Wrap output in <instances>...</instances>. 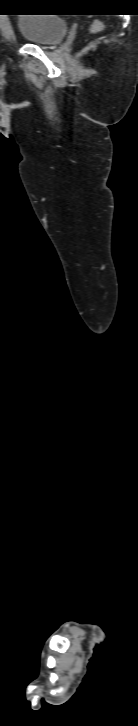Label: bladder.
Segmentation results:
<instances>
[{
  "label": "bladder",
  "mask_w": 138,
  "mask_h": 726,
  "mask_svg": "<svg viewBox=\"0 0 138 726\" xmlns=\"http://www.w3.org/2000/svg\"><path fill=\"white\" fill-rule=\"evenodd\" d=\"M17 22L21 35L39 45H50L61 41L67 34L68 23L56 14H24Z\"/></svg>",
  "instance_id": "31cf9c89"
}]
</instances>
